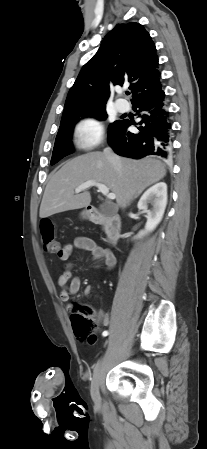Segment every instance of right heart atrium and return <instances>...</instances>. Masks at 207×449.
<instances>
[{
    "mask_svg": "<svg viewBox=\"0 0 207 449\" xmlns=\"http://www.w3.org/2000/svg\"><path fill=\"white\" fill-rule=\"evenodd\" d=\"M103 125L99 119L93 116L81 118L75 126L76 143L79 147L88 149L102 139Z\"/></svg>",
    "mask_w": 207,
    "mask_h": 449,
    "instance_id": "d8ad5b80",
    "label": "right heart atrium"
}]
</instances>
